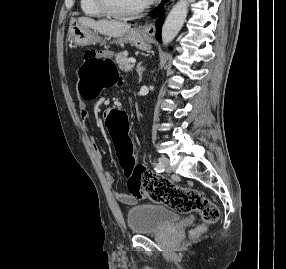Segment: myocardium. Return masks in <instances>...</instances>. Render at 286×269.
<instances>
[{
    "mask_svg": "<svg viewBox=\"0 0 286 269\" xmlns=\"http://www.w3.org/2000/svg\"><path fill=\"white\" fill-rule=\"evenodd\" d=\"M97 7L100 9V11L108 17L116 18V19H128L136 17L140 14H142L146 8L148 7V4H144L143 6L139 7L136 10L130 11V12H122L117 10L110 0H95Z\"/></svg>",
    "mask_w": 286,
    "mask_h": 269,
    "instance_id": "f54148a6",
    "label": "myocardium"
}]
</instances>
